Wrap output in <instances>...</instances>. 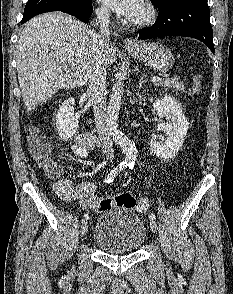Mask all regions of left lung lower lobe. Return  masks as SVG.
<instances>
[{"instance_id":"left-lung-lower-lobe-1","label":"left lung lower lobe","mask_w":233,"mask_h":294,"mask_svg":"<svg viewBox=\"0 0 233 294\" xmlns=\"http://www.w3.org/2000/svg\"><path fill=\"white\" fill-rule=\"evenodd\" d=\"M157 7L156 22L150 28L139 30V39L188 36L202 41L214 53L207 0H167Z\"/></svg>"}]
</instances>
